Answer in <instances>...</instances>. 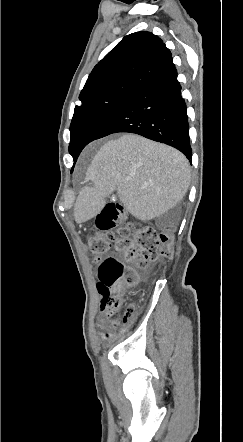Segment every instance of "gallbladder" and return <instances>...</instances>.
Returning a JSON list of instances; mask_svg holds the SVG:
<instances>
[{"instance_id": "gallbladder-1", "label": "gallbladder", "mask_w": 243, "mask_h": 442, "mask_svg": "<svg viewBox=\"0 0 243 442\" xmlns=\"http://www.w3.org/2000/svg\"><path fill=\"white\" fill-rule=\"evenodd\" d=\"M109 199H119L120 200V195L118 193H108L107 197H106V204H108Z\"/></svg>"}]
</instances>
